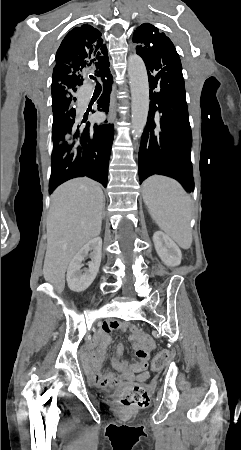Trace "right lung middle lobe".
Masks as SVG:
<instances>
[{
  "label": "right lung middle lobe",
  "mask_w": 241,
  "mask_h": 450,
  "mask_svg": "<svg viewBox=\"0 0 241 450\" xmlns=\"http://www.w3.org/2000/svg\"><path fill=\"white\" fill-rule=\"evenodd\" d=\"M76 98L73 96L67 97L65 99L52 102V112H53V129H52V139L53 144H71L74 141V137L71 134H61L55 131V123L63 116L76 115L75 110Z\"/></svg>",
  "instance_id": "dd1d6c3e"
}]
</instances>
